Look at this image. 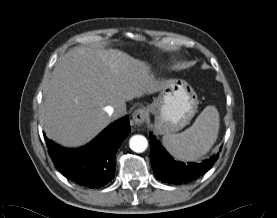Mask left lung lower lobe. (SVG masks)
Segmentation results:
<instances>
[{"instance_id": "1", "label": "left lung lower lobe", "mask_w": 277, "mask_h": 218, "mask_svg": "<svg viewBox=\"0 0 277 218\" xmlns=\"http://www.w3.org/2000/svg\"><path fill=\"white\" fill-rule=\"evenodd\" d=\"M150 159L157 179L169 184H182L193 181L207 172L218 158L212 156L202 163H180L175 161L150 133Z\"/></svg>"}]
</instances>
